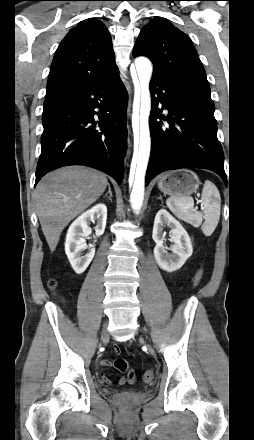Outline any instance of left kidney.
I'll return each instance as SVG.
<instances>
[{
	"label": "left kidney",
	"instance_id": "obj_1",
	"mask_svg": "<svg viewBox=\"0 0 254 440\" xmlns=\"http://www.w3.org/2000/svg\"><path fill=\"white\" fill-rule=\"evenodd\" d=\"M171 229L170 241L173 242L171 252L164 246L165 236L163 229ZM152 238L156 243L154 257L159 267L167 272L180 269L192 255L193 247L188 233L182 225L165 209H161L155 216Z\"/></svg>",
	"mask_w": 254,
	"mask_h": 440
}]
</instances>
